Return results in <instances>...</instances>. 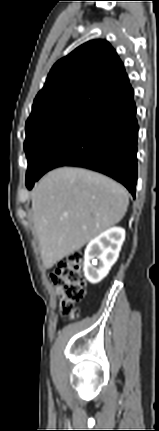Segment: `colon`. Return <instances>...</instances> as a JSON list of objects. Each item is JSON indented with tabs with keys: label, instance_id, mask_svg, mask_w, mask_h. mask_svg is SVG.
Here are the masks:
<instances>
[{
	"label": "colon",
	"instance_id": "5ec220e1",
	"mask_svg": "<svg viewBox=\"0 0 159 431\" xmlns=\"http://www.w3.org/2000/svg\"><path fill=\"white\" fill-rule=\"evenodd\" d=\"M82 264V253L75 251L62 259L51 273V279L58 287L60 312L66 318H75L78 315L76 303L85 295L86 280Z\"/></svg>",
	"mask_w": 159,
	"mask_h": 431
}]
</instances>
